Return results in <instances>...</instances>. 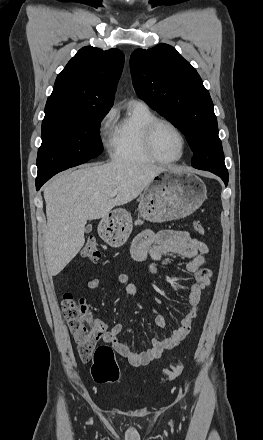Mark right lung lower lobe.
<instances>
[{
  "label": "right lung lower lobe",
  "instance_id": "obj_1",
  "mask_svg": "<svg viewBox=\"0 0 263 440\" xmlns=\"http://www.w3.org/2000/svg\"><path fill=\"white\" fill-rule=\"evenodd\" d=\"M88 160H86V161H84V163L85 162H87ZM49 178H51L50 176H47V177H43V178H37L36 179V189L37 190H39L40 189V187L49 179Z\"/></svg>",
  "mask_w": 263,
  "mask_h": 440
}]
</instances>
